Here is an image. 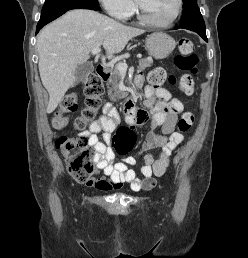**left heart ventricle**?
Segmentation results:
<instances>
[{"label":"left heart ventricle","mask_w":248,"mask_h":258,"mask_svg":"<svg viewBox=\"0 0 248 258\" xmlns=\"http://www.w3.org/2000/svg\"><path fill=\"white\" fill-rule=\"evenodd\" d=\"M146 16L156 22L170 20L176 12L177 0H139Z\"/></svg>","instance_id":"1"}]
</instances>
